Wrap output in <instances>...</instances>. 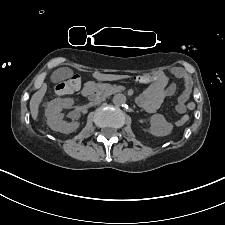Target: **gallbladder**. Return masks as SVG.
<instances>
[{"label": "gallbladder", "instance_id": "bac80fb5", "mask_svg": "<svg viewBox=\"0 0 225 225\" xmlns=\"http://www.w3.org/2000/svg\"><path fill=\"white\" fill-rule=\"evenodd\" d=\"M73 71L70 68L62 67L54 71L51 75V81L53 83H59L60 81L71 77Z\"/></svg>", "mask_w": 225, "mask_h": 225}]
</instances>
